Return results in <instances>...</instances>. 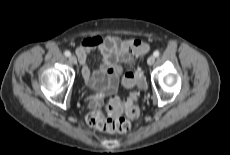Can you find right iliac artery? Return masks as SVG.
Returning <instances> with one entry per match:
<instances>
[{"mask_svg":"<svg viewBox=\"0 0 230 155\" xmlns=\"http://www.w3.org/2000/svg\"><path fill=\"white\" fill-rule=\"evenodd\" d=\"M70 54H71V53H70L69 51H65V52H64V55H65L66 57L70 56Z\"/></svg>","mask_w":230,"mask_h":155,"instance_id":"obj_1","label":"right iliac artery"}]
</instances>
